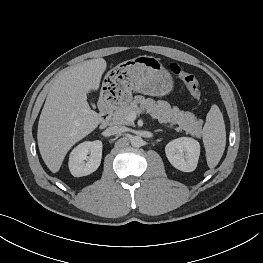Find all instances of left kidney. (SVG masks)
I'll return each instance as SVG.
<instances>
[{"label": "left kidney", "instance_id": "left-kidney-1", "mask_svg": "<svg viewBox=\"0 0 263 263\" xmlns=\"http://www.w3.org/2000/svg\"><path fill=\"white\" fill-rule=\"evenodd\" d=\"M165 153L169 162L176 169L183 172H192L197 167L200 144L193 138H177L166 145Z\"/></svg>", "mask_w": 263, "mask_h": 263}]
</instances>
